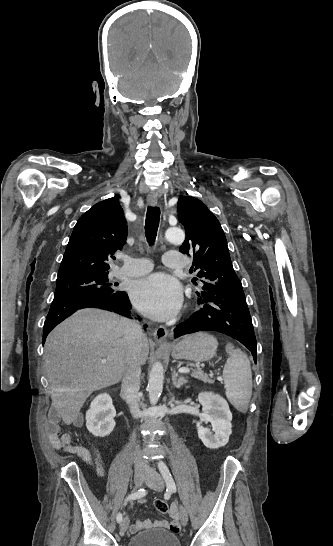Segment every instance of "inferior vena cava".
I'll return each instance as SVG.
<instances>
[{
    "label": "inferior vena cava",
    "instance_id": "1",
    "mask_svg": "<svg viewBox=\"0 0 333 546\" xmlns=\"http://www.w3.org/2000/svg\"><path fill=\"white\" fill-rule=\"evenodd\" d=\"M120 326L123 330L124 340L127 343V359L121 393L129 406L132 416L138 418L141 414L138 396L141 375L139 356L144 335L138 321L122 319ZM134 464L136 468L147 466V462L142 458L138 446H136L134 453Z\"/></svg>",
    "mask_w": 333,
    "mask_h": 546
}]
</instances>
